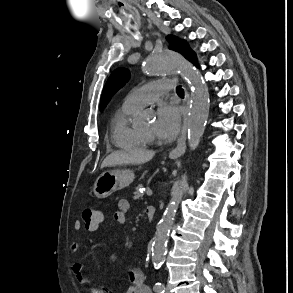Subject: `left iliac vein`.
<instances>
[{"mask_svg": "<svg viewBox=\"0 0 293 293\" xmlns=\"http://www.w3.org/2000/svg\"><path fill=\"white\" fill-rule=\"evenodd\" d=\"M165 293H170L168 287L165 288Z\"/></svg>", "mask_w": 293, "mask_h": 293, "instance_id": "1", "label": "left iliac vein"}]
</instances>
